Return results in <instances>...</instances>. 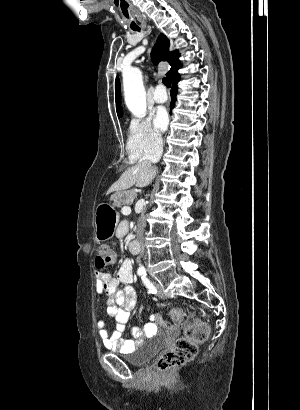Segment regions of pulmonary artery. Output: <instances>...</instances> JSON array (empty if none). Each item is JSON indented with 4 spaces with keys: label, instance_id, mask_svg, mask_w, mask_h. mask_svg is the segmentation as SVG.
I'll list each match as a JSON object with an SVG mask.
<instances>
[{
    "label": "pulmonary artery",
    "instance_id": "e3ab8cb5",
    "mask_svg": "<svg viewBox=\"0 0 300 410\" xmlns=\"http://www.w3.org/2000/svg\"><path fill=\"white\" fill-rule=\"evenodd\" d=\"M153 98L157 103H164L167 101L168 95L163 85L159 84L155 87Z\"/></svg>",
    "mask_w": 300,
    "mask_h": 410
}]
</instances>
